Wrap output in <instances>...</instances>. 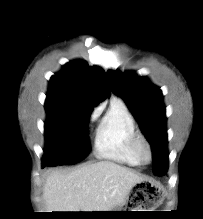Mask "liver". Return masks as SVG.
<instances>
[{
    "label": "liver",
    "instance_id": "6515ba94",
    "mask_svg": "<svg viewBox=\"0 0 203 219\" xmlns=\"http://www.w3.org/2000/svg\"><path fill=\"white\" fill-rule=\"evenodd\" d=\"M144 177L111 161H100L71 172L52 170L43 185L48 212L111 211L123 205Z\"/></svg>",
    "mask_w": 203,
    "mask_h": 219
}]
</instances>
